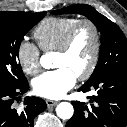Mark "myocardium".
Segmentation results:
<instances>
[{
	"mask_svg": "<svg viewBox=\"0 0 127 127\" xmlns=\"http://www.w3.org/2000/svg\"><path fill=\"white\" fill-rule=\"evenodd\" d=\"M83 27L89 28L92 32V35H93V52H92V56H91L88 67L86 68V70L83 73H81L77 76V78L79 80L88 79L93 74V72L95 71L97 64H98V61H99V56H100V51H101V35H100V31H99V28L97 27V25L89 19L79 20L67 32V34L63 38L61 44L56 49V53H58V54L68 53L76 35L78 34V32Z\"/></svg>",
	"mask_w": 127,
	"mask_h": 127,
	"instance_id": "obj_1",
	"label": "myocardium"
}]
</instances>
